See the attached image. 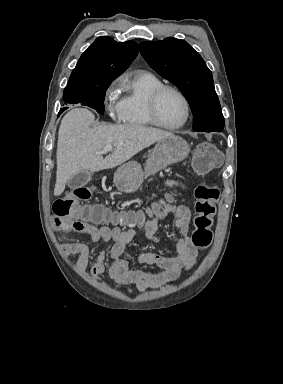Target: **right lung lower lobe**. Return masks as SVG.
Wrapping results in <instances>:
<instances>
[{
  "instance_id": "right-lung-lower-lobe-1",
  "label": "right lung lower lobe",
  "mask_w": 283,
  "mask_h": 384,
  "mask_svg": "<svg viewBox=\"0 0 283 384\" xmlns=\"http://www.w3.org/2000/svg\"><path fill=\"white\" fill-rule=\"evenodd\" d=\"M62 112H63V111H60V112H59V115H60Z\"/></svg>"
}]
</instances>
